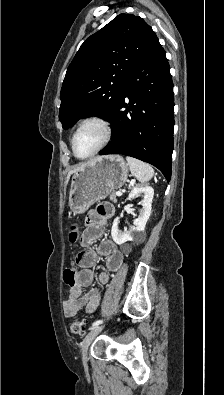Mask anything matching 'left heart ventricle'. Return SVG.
<instances>
[{"mask_svg": "<svg viewBox=\"0 0 224 395\" xmlns=\"http://www.w3.org/2000/svg\"><path fill=\"white\" fill-rule=\"evenodd\" d=\"M103 139L102 128L94 123L81 129L75 140V150L80 157L91 154Z\"/></svg>", "mask_w": 224, "mask_h": 395, "instance_id": "1", "label": "left heart ventricle"}]
</instances>
